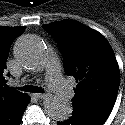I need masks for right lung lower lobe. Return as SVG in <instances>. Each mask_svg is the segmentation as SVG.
I'll return each mask as SVG.
<instances>
[{
    "instance_id": "right-lung-lower-lobe-1",
    "label": "right lung lower lobe",
    "mask_w": 125,
    "mask_h": 125,
    "mask_svg": "<svg viewBox=\"0 0 125 125\" xmlns=\"http://www.w3.org/2000/svg\"><path fill=\"white\" fill-rule=\"evenodd\" d=\"M29 102V96L22 94L16 100L0 108V125H20Z\"/></svg>"
}]
</instances>
